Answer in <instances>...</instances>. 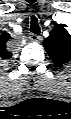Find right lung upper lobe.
Wrapping results in <instances>:
<instances>
[{"instance_id": "cb5924a9", "label": "right lung upper lobe", "mask_w": 71, "mask_h": 119, "mask_svg": "<svg viewBox=\"0 0 71 119\" xmlns=\"http://www.w3.org/2000/svg\"><path fill=\"white\" fill-rule=\"evenodd\" d=\"M10 35L7 33H2L0 36V57L2 59H9L12 56V53L6 49V43Z\"/></svg>"}]
</instances>
